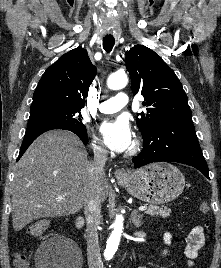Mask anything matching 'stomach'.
<instances>
[{
    "mask_svg": "<svg viewBox=\"0 0 221 268\" xmlns=\"http://www.w3.org/2000/svg\"><path fill=\"white\" fill-rule=\"evenodd\" d=\"M119 182L132 196L150 204L168 203L176 199L185 187L181 171L166 162L128 172Z\"/></svg>",
    "mask_w": 221,
    "mask_h": 268,
    "instance_id": "stomach-1",
    "label": "stomach"
}]
</instances>
